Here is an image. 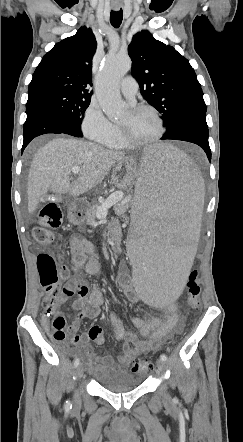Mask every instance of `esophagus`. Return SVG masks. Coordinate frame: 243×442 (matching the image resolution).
Listing matches in <instances>:
<instances>
[{
    "label": "esophagus",
    "mask_w": 243,
    "mask_h": 442,
    "mask_svg": "<svg viewBox=\"0 0 243 442\" xmlns=\"http://www.w3.org/2000/svg\"><path fill=\"white\" fill-rule=\"evenodd\" d=\"M115 9H116V10H118V9H119V7H117V6H116V7H115Z\"/></svg>",
    "instance_id": "1"
}]
</instances>
